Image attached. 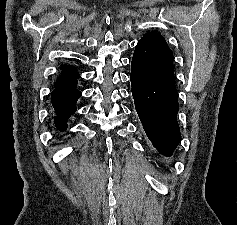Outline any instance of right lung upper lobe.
Masks as SVG:
<instances>
[{
  "mask_svg": "<svg viewBox=\"0 0 237 225\" xmlns=\"http://www.w3.org/2000/svg\"><path fill=\"white\" fill-rule=\"evenodd\" d=\"M79 74L76 71V68L73 66H66L61 72V76L56 80L54 85H75L77 84V79Z\"/></svg>",
  "mask_w": 237,
  "mask_h": 225,
  "instance_id": "obj_1",
  "label": "right lung upper lobe"
}]
</instances>
